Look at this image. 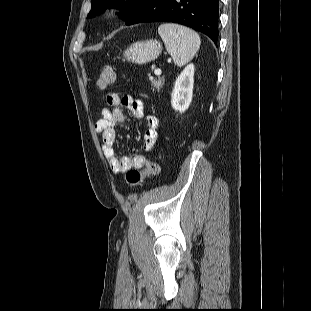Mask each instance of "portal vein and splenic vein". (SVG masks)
<instances>
[{
	"label": "portal vein and splenic vein",
	"instance_id": "obj_1",
	"mask_svg": "<svg viewBox=\"0 0 311 311\" xmlns=\"http://www.w3.org/2000/svg\"><path fill=\"white\" fill-rule=\"evenodd\" d=\"M155 75H161V69H155L154 71Z\"/></svg>",
	"mask_w": 311,
	"mask_h": 311
}]
</instances>
